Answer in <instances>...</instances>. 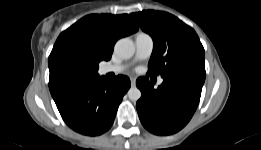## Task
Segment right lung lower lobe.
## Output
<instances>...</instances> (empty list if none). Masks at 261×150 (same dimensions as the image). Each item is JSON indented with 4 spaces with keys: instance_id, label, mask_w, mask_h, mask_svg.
<instances>
[{
    "instance_id": "right-lung-lower-lobe-1",
    "label": "right lung lower lobe",
    "mask_w": 261,
    "mask_h": 150,
    "mask_svg": "<svg viewBox=\"0 0 261 150\" xmlns=\"http://www.w3.org/2000/svg\"><path fill=\"white\" fill-rule=\"evenodd\" d=\"M130 88V80L119 75L113 80L104 76L72 86L53 99L66 124L84 135H100L113 124L124 94Z\"/></svg>"
}]
</instances>
